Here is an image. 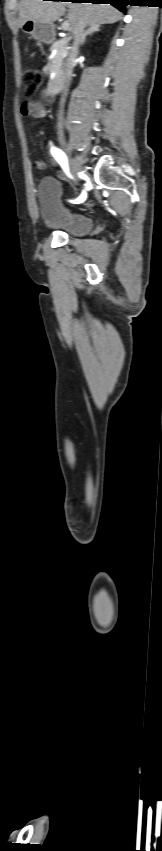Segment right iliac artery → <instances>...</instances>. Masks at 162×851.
Segmentation results:
<instances>
[{
  "instance_id": "82829eb1",
  "label": "right iliac artery",
  "mask_w": 162,
  "mask_h": 851,
  "mask_svg": "<svg viewBox=\"0 0 162 851\" xmlns=\"http://www.w3.org/2000/svg\"><path fill=\"white\" fill-rule=\"evenodd\" d=\"M51 154H52V155H53V157L57 160V162L60 164V166L62 167V169H63V170H64V172L66 173V175H67L69 178H72V176H71V174H70V172H69V166H68V162H67V156L65 155V153H64L61 149H59V148H57V147H55V146H52V147H51ZM85 198H86V193H85V192H83V193L80 195V197H79V198H77L76 200H73V201H71V202H72V203H81V202H83V201L85 200Z\"/></svg>"
}]
</instances>
